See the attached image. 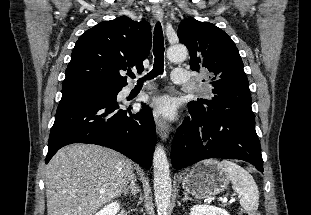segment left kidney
Here are the masks:
<instances>
[{
    "instance_id": "obj_1",
    "label": "left kidney",
    "mask_w": 311,
    "mask_h": 215,
    "mask_svg": "<svg viewBox=\"0 0 311 215\" xmlns=\"http://www.w3.org/2000/svg\"><path fill=\"white\" fill-rule=\"evenodd\" d=\"M190 215H230L226 210L209 205H195Z\"/></svg>"
}]
</instances>
